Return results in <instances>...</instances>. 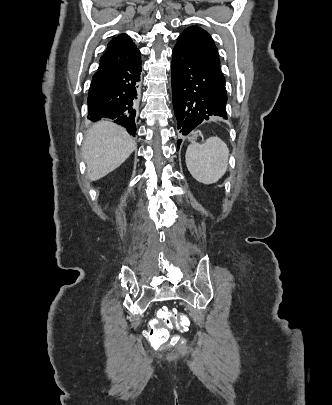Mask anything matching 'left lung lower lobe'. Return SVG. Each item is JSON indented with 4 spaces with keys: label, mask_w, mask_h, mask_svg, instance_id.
Returning <instances> with one entry per match:
<instances>
[{
    "label": "left lung lower lobe",
    "mask_w": 332,
    "mask_h": 405,
    "mask_svg": "<svg viewBox=\"0 0 332 405\" xmlns=\"http://www.w3.org/2000/svg\"><path fill=\"white\" fill-rule=\"evenodd\" d=\"M172 55V98L180 134L187 135L216 116L227 119L225 80L181 47L175 46ZM181 142L178 140V148Z\"/></svg>",
    "instance_id": "1"
}]
</instances>
